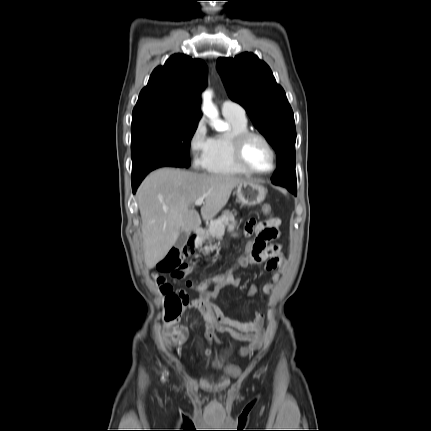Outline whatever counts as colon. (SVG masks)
Listing matches in <instances>:
<instances>
[{
	"mask_svg": "<svg viewBox=\"0 0 431 431\" xmlns=\"http://www.w3.org/2000/svg\"><path fill=\"white\" fill-rule=\"evenodd\" d=\"M265 215L268 216V221L273 220L272 207L270 204H265L262 208ZM253 237L247 238L244 241V251L238 254L237 268H242L243 260L247 257L252 256ZM191 253L190 247L184 248H173L168 254L159 262L158 269L164 273H170L175 279L183 278L190 270V266L187 264L186 259ZM223 271V270H222ZM214 280V279H213ZM228 280V279H226ZM160 290L165 296V304L167 306L169 316L175 317L182 308L188 303V297L183 290L175 289L170 283L166 282L163 278L158 279ZM200 301V302H199ZM196 302V307H201L202 304L206 303V298H200ZM202 303V304H201Z\"/></svg>",
	"mask_w": 431,
	"mask_h": 431,
	"instance_id": "1",
	"label": "colon"
}]
</instances>
